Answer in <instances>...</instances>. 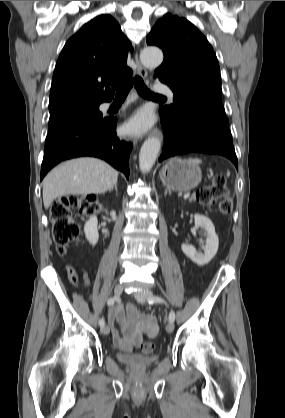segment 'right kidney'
<instances>
[{"label":"right kidney","mask_w":285,"mask_h":418,"mask_svg":"<svg viewBox=\"0 0 285 418\" xmlns=\"http://www.w3.org/2000/svg\"><path fill=\"white\" fill-rule=\"evenodd\" d=\"M97 225H98V220L96 216H91L84 225L85 236L87 240L89 241V243L92 244L93 246L96 245L99 239Z\"/></svg>","instance_id":"right-kidney-1"}]
</instances>
